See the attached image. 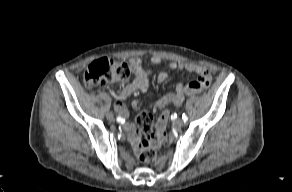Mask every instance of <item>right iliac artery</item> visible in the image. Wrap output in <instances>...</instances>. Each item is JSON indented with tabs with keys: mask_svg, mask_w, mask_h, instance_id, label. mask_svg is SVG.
Returning a JSON list of instances; mask_svg holds the SVG:
<instances>
[{
	"mask_svg": "<svg viewBox=\"0 0 292 192\" xmlns=\"http://www.w3.org/2000/svg\"><path fill=\"white\" fill-rule=\"evenodd\" d=\"M127 120H131V117H127V119H126L125 117L118 116L116 118V121L118 123H122V124H125L127 122Z\"/></svg>",
	"mask_w": 292,
	"mask_h": 192,
	"instance_id": "right-iliac-artery-1",
	"label": "right iliac artery"
}]
</instances>
